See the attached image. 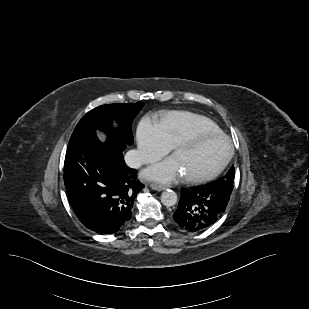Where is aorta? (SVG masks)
<instances>
[{
  "label": "aorta",
  "mask_w": 309,
  "mask_h": 309,
  "mask_svg": "<svg viewBox=\"0 0 309 309\" xmlns=\"http://www.w3.org/2000/svg\"><path fill=\"white\" fill-rule=\"evenodd\" d=\"M161 202L166 207H172L177 203V194L173 190H166L161 194Z\"/></svg>",
  "instance_id": "obj_1"
}]
</instances>
